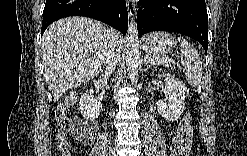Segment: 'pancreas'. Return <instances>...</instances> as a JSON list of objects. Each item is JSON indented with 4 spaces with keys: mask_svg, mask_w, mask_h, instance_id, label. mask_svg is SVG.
Instances as JSON below:
<instances>
[{
    "mask_svg": "<svg viewBox=\"0 0 247 156\" xmlns=\"http://www.w3.org/2000/svg\"><path fill=\"white\" fill-rule=\"evenodd\" d=\"M151 60H153L155 63H160V61L164 60V59H168L167 57L165 56H150L149 57Z\"/></svg>",
    "mask_w": 247,
    "mask_h": 156,
    "instance_id": "1",
    "label": "pancreas"
}]
</instances>
